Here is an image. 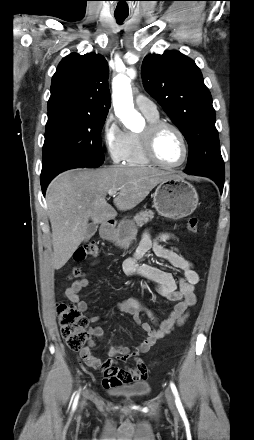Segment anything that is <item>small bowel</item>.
<instances>
[{
  "label": "small bowel",
  "instance_id": "1",
  "mask_svg": "<svg viewBox=\"0 0 254 440\" xmlns=\"http://www.w3.org/2000/svg\"><path fill=\"white\" fill-rule=\"evenodd\" d=\"M173 239H175V237L170 233H161L156 238H153L150 232H145L134 255L126 259L122 264L123 271L126 275L130 277H142L153 282L160 295L175 303L174 309L168 317L156 326L142 321L141 314L147 315L153 322H156V317L154 313L137 298H126L118 303L117 307L120 311L132 315L135 323L145 332V338L133 349L112 344L108 347L107 354L110 357H117L122 361L133 357L135 358V366L123 369L118 367L112 359L101 361L93 353L92 349L95 346V342L92 338L89 339L88 346L80 351V358L86 365L102 370L103 385L106 388L145 381L147 379L148 370L145 363L139 359L138 356L148 352L150 347L158 339L169 334L175 327L183 325L189 316L190 307L196 302L194 288L200 278L192 262L182 255L176 247H166L161 244L162 242ZM150 250H152L157 257L166 260L172 266L179 269L182 275L179 278H175L170 272L165 270L148 264H139V261ZM88 285V279L79 278L64 292V296L70 300L80 312H86L88 310V304L79 296V292ZM100 320L101 317L98 315L90 317L92 323H98ZM90 335L100 338L104 335V330L101 326L96 325L90 329Z\"/></svg>",
  "mask_w": 254,
  "mask_h": 440
}]
</instances>
